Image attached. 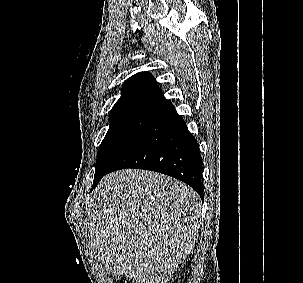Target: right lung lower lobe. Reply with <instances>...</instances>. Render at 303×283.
Returning <instances> with one entry per match:
<instances>
[{
  "label": "right lung lower lobe",
  "mask_w": 303,
  "mask_h": 283,
  "mask_svg": "<svg viewBox=\"0 0 303 283\" xmlns=\"http://www.w3.org/2000/svg\"><path fill=\"white\" fill-rule=\"evenodd\" d=\"M125 168L167 174L185 182L203 196L199 146L174 107L158 116L124 151L107 174Z\"/></svg>",
  "instance_id": "98d812e1"
}]
</instances>
